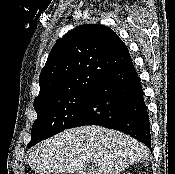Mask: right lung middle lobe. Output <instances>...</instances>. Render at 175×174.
<instances>
[{
    "label": "right lung middle lobe",
    "mask_w": 175,
    "mask_h": 174,
    "mask_svg": "<svg viewBox=\"0 0 175 174\" xmlns=\"http://www.w3.org/2000/svg\"><path fill=\"white\" fill-rule=\"evenodd\" d=\"M95 85L72 89L34 103L37 119L31 130V148L68 128L85 104Z\"/></svg>",
    "instance_id": "dd1d6c3e"
}]
</instances>
